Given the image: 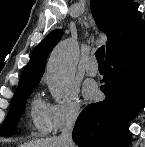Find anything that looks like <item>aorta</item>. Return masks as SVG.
Instances as JSON below:
<instances>
[{"label": "aorta", "instance_id": "1", "mask_svg": "<svg viewBox=\"0 0 145 147\" xmlns=\"http://www.w3.org/2000/svg\"><path fill=\"white\" fill-rule=\"evenodd\" d=\"M79 48L75 41L65 40L52 51L47 64V84L56 101H61L73 80Z\"/></svg>", "mask_w": 145, "mask_h": 147}]
</instances>
